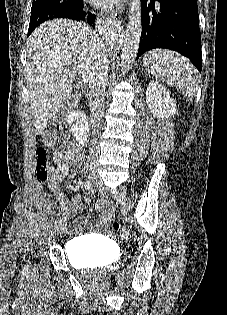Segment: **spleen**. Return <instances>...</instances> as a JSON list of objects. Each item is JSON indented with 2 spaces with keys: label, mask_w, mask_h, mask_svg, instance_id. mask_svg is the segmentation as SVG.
I'll return each instance as SVG.
<instances>
[{
  "label": "spleen",
  "mask_w": 227,
  "mask_h": 315,
  "mask_svg": "<svg viewBox=\"0 0 227 315\" xmlns=\"http://www.w3.org/2000/svg\"><path fill=\"white\" fill-rule=\"evenodd\" d=\"M144 66L157 79L176 85L192 99L197 90V76L192 63L186 58L167 50L151 51L144 57Z\"/></svg>",
  "instance_id": "spleen-1"
}]
</instances>
